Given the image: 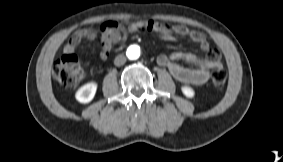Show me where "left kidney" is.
Listing matches in <instances>:
<instances>
[{"instance_id":"left-kidney-1","label":"left kidney","mask_w":283,"mask_h":162,"mask_svg":"<svg viewBox=\"0 0 283 162\" xmlns=\"http://www.w3.org/2000/svg\"><path fill=\"white\" fill-rule=\"evenodd\" d=\"M181 90H182V92H183V94L186 96V97H188V98H193L194 97V90L191 88V87H189V86H183L182 88H181Z\"/></svg>"}]
</instances>
